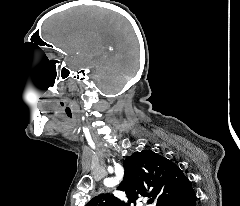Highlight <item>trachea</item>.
I'll list each match as a JSON object with an SVG mask.
<instances>
[{
    "label": "trachea",
    "mask_w": 240,
    "mask_h": 206,
    "mask_svg": "<svg viewBox=\"0 0 240 206\" xmlns=\"http://www.w3.org/2000/svg\"><path fill=\"white\" fill-rule=\"evenodd\" d=\"M152 202H153V200H152V199H150V200H149V203H152Z\"/></svg>",
    "instance_id": "obj_1"
}]
</instances>
